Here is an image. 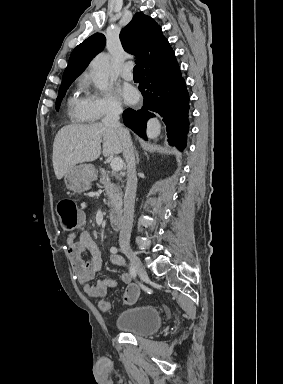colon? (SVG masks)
Listing matches in <instances>:
<instances>
[{
	"instance_id": "obj_1",
	"label": "colon",
	"mask_w": 283,
	"mask_h": 384,
	"mask_svg": "<svg viewBox=\"0 0 283 384\" xmlns=\"http://www.w3.org/2000/svg\"><path fill=\"white\" fill-rule=\"evenodd\" d=\"M57 212L60 217L61 227L66 232H71L82 226L84 215L77 207L72 199H63L57 205ZM139 294V289L136 285H129L124 293V302L133 304ZM99 308L102 312H110L112 305L109 301L102 300L99 302Z\"/></svg>"
}]
</instances>
